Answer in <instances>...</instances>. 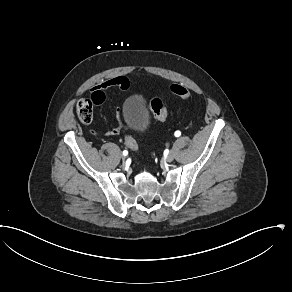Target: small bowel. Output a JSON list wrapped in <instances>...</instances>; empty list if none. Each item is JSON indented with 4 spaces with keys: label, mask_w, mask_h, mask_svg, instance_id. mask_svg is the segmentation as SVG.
I'll list each match as a JSON object with an SVG mask.
<instances>
[{
    "label": "small bowel",
    "mask_w": 292,
    "mask_h": 292,
    "mask_svg": "<svg viewBox=\"0 0 292 292\" xmlns=\"http://www.w3.org/2000/svg\"><path fill=\"white\" fill-rule=\"evenodd\" d=\"M128 86V80L125 77L119 76L111 79L102 80L101 82L96 84L95 89L116 88L124 91L128 89ZM120 111L121 108L119 106H114L113 115H116V113H118L116 115V118L118 119L117 126L106 128L104 131L102 129H99L97 132L94 129H91L89 131V134L91 136H94L96 134L98 137H101L102 135H104V133L109 136H113V134L114 136H117L118 133L125 128V119L123 118V115L119 113Z\"/></svg>",
    "instance_id": "small-bowel-1"
}]
</instances>
